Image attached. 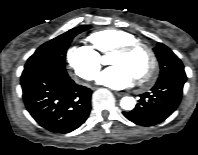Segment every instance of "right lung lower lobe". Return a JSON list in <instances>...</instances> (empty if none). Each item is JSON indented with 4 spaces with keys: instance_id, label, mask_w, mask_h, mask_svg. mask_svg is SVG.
<instances>
[{
    "instance_id": "right-lung-lower-lobe-1",
    "label": "right lung lower lobe",
    "mask_w": 198,
    "mask_h": 155,
    "mask_svg": "<svg viewBox=\"0 0 198 155\" xmlns=\"http://www.w3.org/2000/svg\"><path fill=\"white\" fill-rule=\"evenodd\" d=\"M21 86L27 110L49 131L69 133L89 116L92 91L77 85L67 74L48 68H26Z\"/></svg>"
}]
</instances>
